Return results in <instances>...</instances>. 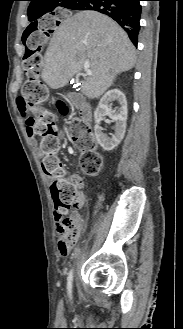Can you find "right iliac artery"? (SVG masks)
<instances>
[{"label": "right iliac artery", "mask_w": 183, "mask_h": 329, "mask_svg": "<svg viewBox=\"0 0 183 329\" xmlns=\"http://www.w3.org/2000/svg\"><path fill=\"white\" fill-rule=\"evenodd\" d=\"M72 280H73V272L71 270L69 272L68 283H67V290H68V295L70 298H71V291H72Z\"/></svg>", "instance_id": "obj_1"}]
</instances>
